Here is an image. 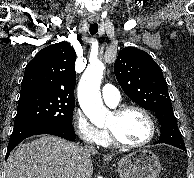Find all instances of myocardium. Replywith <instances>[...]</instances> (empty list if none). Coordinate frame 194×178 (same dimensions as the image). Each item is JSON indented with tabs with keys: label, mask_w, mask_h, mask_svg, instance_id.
<instances>
[{
	"label": "myocardium",
	"mask_w": 194,
	"mask_h": 178,
	"mask_svg": "<svg viewBox=\"0 0 194 178\" xmlns=\"http://www.w3.org/2000/svg\"><path fill=\"white\" fill-rule=\"evenodd\" d=\"M131 110H136V111L142 113L146 117V119L148 120L149 125H150L149 136L144 141H142L140 143L129 144V143H125V142L121 141L113 129L106 127V132L109 136L111 143L117 147L125 148V149L141 148V147H144V146L148 145L149 143H151L156 136V132H157L156 122H155L152 114L146 108L139 106V105H134V104L123 105V106L115 108L112 113L115 116L120 117L123 114H125L126 112L131 111Z\"/></svg>",
	"instance_id": "f54148a6"
}]
</instances>
